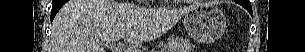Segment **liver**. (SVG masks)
Returning <instances> with one entry per match:
<instances>
[{
	"instance_id": "1",
	"label": "liver",
	"mask_w": 305,
	"mask_h": 52,
	"mask_svg": "<svg viewBox=\"0 0 305 52\" xmlns=\"http://www.w3.org/2000/svg\"><path fill=\"white\" fill-rule=\"evenodd\" d=\"M192 7L146 9L112 0H70L53 20L51 52H106L104 40L152 41Z\"/></svg>"
}]
</instances>
